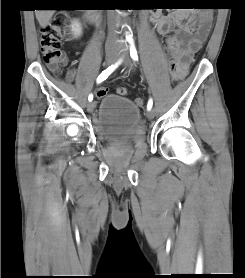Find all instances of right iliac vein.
I'll return each mask as SVG.
<instances>
[{
  "mask_svg": "<svg viewBox=\"0 0 245 278\" xmlns=\"http://www.w3.org/2000/svg\"><path fill=\"white\" fill-rule=\"evenodd\" d=\"M116 59H117V51L115 49H110L106 53L105 64L106 65L114 64ZM94 108H95V102H89L87 105V110L89 112H93Z\"/></svg>",
  "mask_w": 245,
  "mask_h": 278,
  "instance_id": "1",
  "label": "right iliac vein"
}]
</instances>
